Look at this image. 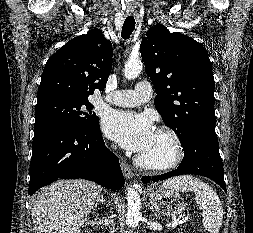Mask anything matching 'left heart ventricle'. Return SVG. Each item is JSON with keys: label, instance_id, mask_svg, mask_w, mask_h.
<instances>
[{"label": "left heart ventricle", "instance_id": "b2bd125f", "mask_svg": "<svg viewBox=\"0 0 253 233\" xmlns=\"http://www.w3.org/2000/svg\"><path fill=\"white\" fill-rule=\"evenodd\" d=\"M171 152L172 145L170 141L165 136L155 132L151 143L140 155L148 159L164 160L171 155Z\"/></svg>", "mask_w": 253, "mask_h": 233}]
</instances>
